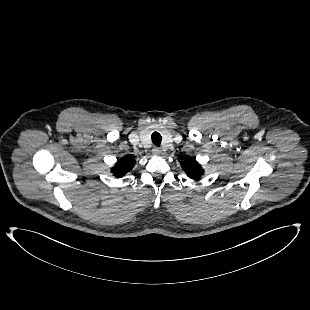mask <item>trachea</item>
<instances>
[{
  "label": "trachea",
  "mask_w": 310,
  "mask_h": 310,
  "mask_svg": "<svg viewBox=\"0 0 310 310\" xmlns=\"http://www.w3.org/2000/svg\"><path fill=\"white\" fill-rule=\"evenodd\" d=\"M151 138H152V142L154 145L160 146L161 141H162V136L160 133L153 132Z\"/></svg>",
  "instance_id": "1"
}]
</instances>
